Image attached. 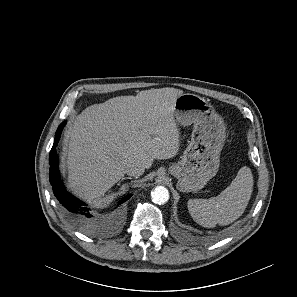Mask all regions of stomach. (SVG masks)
I'll return each instance as SVG.
<instances>
[{
    "mask_svg": "<svg viewBox=\"0 0 297 297\" xmlns=\"http://www.w3.org/2000/svg\"><path fill=\"white\" fill-rule=\"evenodd\" d=\"M174 116L181 126L193 124V131L182 159L168 171L178 179L180 191H198L218 172L226 137L225 124L204 98L191 93L177 97Z\"/></svg>",
    "mask_w": 297,
    "mask_h": 297,
    "instance_id": "0dacf381",
    "label": "stomach"
}]
</instances>
